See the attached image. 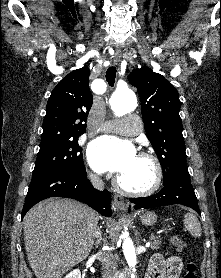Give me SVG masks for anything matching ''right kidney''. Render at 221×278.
<instances>
[{"instance_id":"ca27d5eb","label":"right kidney","mask_w":221,"mask_h":278,"mask_svg":"<svg viewBox=\"0 0 221 278\" xmlns=\"http://www.w3.org/2000/svg\"><path fill=\"white\" fill-rule=\"evenodd\" d=\"M64 278H81V272L79 269H74L69 272Z\"/></svg>"}]
</instances>
